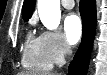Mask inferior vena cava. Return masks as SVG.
I'll return each instance as SVG.
<instances>
[{
	"label": "inferior vena cava",
	"instance_id": "1",
	"mask_svg": "<svg viewBox=\"0 0 107 75\" xmlns=\"http://www.w3.org/2000/svg\"><path fill=\"white\" fill-rule=\"evenodd\" d=\"M71 47L69 46V44L68 43H65V53L67 54V55H69V54H71Z\"/></svg>",
	"mask_w": 107,
	"mask_h": 75
}]
</instances>
